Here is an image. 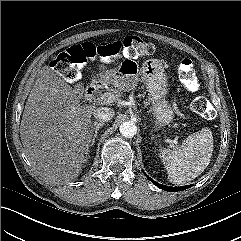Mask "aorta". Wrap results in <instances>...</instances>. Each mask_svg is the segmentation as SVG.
Wrapping results in <instances>:
<instances>
[{"label": "aorta", "instance_id": "obj_1", "mask_svg": "<svg viewBox=\"0 0 241 241\" xmlns=\"http://www.w3.org/2000/svg\"><path fill=\"white\" fill-rule=\"evenodd\" d=\"M119 130H120V133L122 134V136L127 137V138L133 137L137 133L136 125L131 121L123 122L120 125Z\"/></svg>", "mask_w": 241, "mask_h": 241}]
</instances>
